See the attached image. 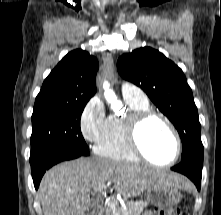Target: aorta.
Listing matches in <instances>:
<instances>
[{
    "label": "aorta",
    "instance_id": "obj_1",
    "mask_svg": "<svg viewBox=\"0 0 221 215\" xmlns=\"http://www.w3.org/2000/svg\"><path fill=\"white\" fill-rule=\"evenodd\" d=\"M103 89L106 101L115 112H118L122 108V103L117 100L115 93L110 89V84L107 81L103 83Z\"/></svg>",
    "mask_w": 221,
    "mask_h": 215
}]
</instances>
